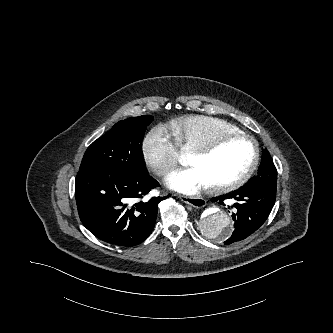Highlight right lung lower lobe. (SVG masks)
I'll return each instance as SVG.
<instances>
[{
  "mask_svg": "<svg viewBox=\"0 0 333 333\" xmlns=\"http://www.w3.org/2000/svg\"><path fill=\"white\" fill-rule=\"evenodd\" d=\"M157 186L159 183L148 172H78L75 198L79 217L100 240L117 246H135L153 230L162 197H153L148 202L136 200Z\"/></svg>",
  "mask_w": 333,
  "mask_h": 333,
  "instance_id": "obj_1",
  "label": "right lung lower lobe"
}]
</instances>
